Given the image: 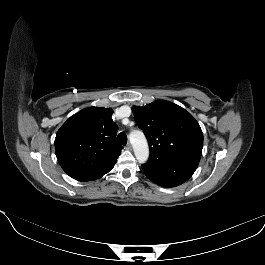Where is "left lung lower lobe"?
Segmentation results:
<instances>
[{"label": "left lung lower lobe", "mask_w": 265, "mask_h": 265, "mask_svg": "<svg viewBox=\"0 0 265 265\" xmlns=\"http://www.w3.org/2000/svg\"><path fill=\"white\" fill-rule=\"evenodd\" d=\"M201 156L182 158L158 164H144L146 176L163 187H175L187 181L195 172Z\"/></svg>", "instance_id": "0a47b994"}]
</instances>
